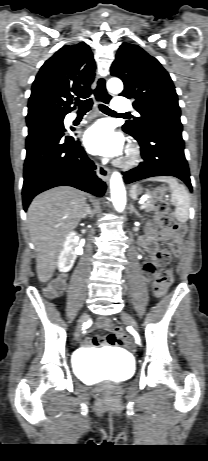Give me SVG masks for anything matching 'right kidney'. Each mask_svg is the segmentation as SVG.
Here are the masks:
<instances>
[{"label": "right kidney", "mask_w": 208, "mask_h": 461, "mask_svg": "<svg viewBox=\"0 0 208 461\" xmlns=\"http://www.w3.org/2000/svg\"><path fill=\"white\" fill-rule=\"evenodd\" d=\"M76 233L70 232L65 239L63 249L58 257V269L60 272H68L74 265L77 255H82L83 248L79 245L74 249Z\"/></svg>", "instance_id": "ca27d5eb"}]
</instances>
